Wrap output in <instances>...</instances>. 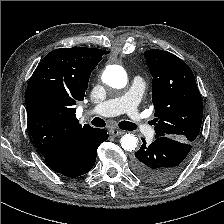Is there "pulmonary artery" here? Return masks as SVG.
I'll list each match as a JSON object with an SVG mask.
<instances>
[{"instance_id":"e3ab8cb5","label":"pulmonary artery","mask_w":224,"mask_h":224,"mask_svg":"<svg viewBox=\"0 0 224 224\" xmlns=\"http://www.w3.org/2000/svg\"><path fill=\"white\" fill-rule=\"evenodd\" d=\"M145 86V80L141 76H135L125 94L96 105L90 113L104 117L125 113L137 131L142 134H149L152 132V128L147 124L137 108Z\"/></svg>"}]
</instances>
